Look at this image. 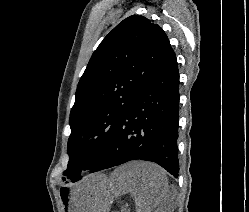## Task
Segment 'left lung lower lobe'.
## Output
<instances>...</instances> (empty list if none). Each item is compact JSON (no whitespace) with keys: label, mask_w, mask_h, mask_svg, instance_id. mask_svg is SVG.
<instances>
[{"label":"left lung lower lobe","mask_w":249,"mask_h":212,"mask_svg":"<svg viewBox=\"0 0 249 212\" xmlns=\"http://www.w3.org/2000/svg\"><path fill=\"white\" fill-rule=\"evenodd\" d=\"M178 86L177 61L171 48L131 100L115 126L110 146L90 172L131 160H146L177 177Z\"/></svg>","instance_id":"1"}]
</instances>
